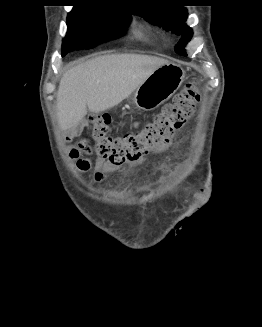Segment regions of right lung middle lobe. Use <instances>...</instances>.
Segmentation results:
<instances>
[{
    "mask_svg": "<svg viewBox=\"0 0 262 327\" xmlns=\"http://www.w3.org/2000/svg\"><path fill=\"white\" fill-rule=\"evenodd\" d=\"M131 21L128 12L89 7L73 8L67 16V34L62 56L77 49L92 48L102 42L122 37Z\"/></svg>",
    "mask_w": 262,
    "mask_h": 327,
    "instance_id": "dd1d6c3e",
    "label": "right lung middle lobe"
}]
</instances>
